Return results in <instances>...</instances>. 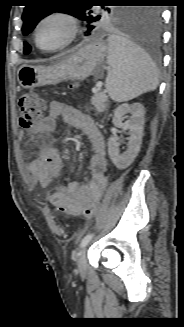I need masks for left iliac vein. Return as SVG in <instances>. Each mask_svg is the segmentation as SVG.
Wrapping results in <instances>:
<instances>
[{"instance_id": "4c4485c4", "label": "left iliac vein", "mask_w": 184, "mask_h": 327, "mask_svg": "<svg viewBox=\"0 0 184 327\" xmlns=\"http://www.w3.org/2000/svg\"><path fill=\"white\" fill-rule=\"evenodd\" d=\"M77 264L80 274L85 275L87 272L86 248H84L79 254Z\"/></svg>"}]
</instances>
